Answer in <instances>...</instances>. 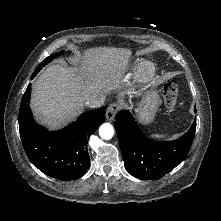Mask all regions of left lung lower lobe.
Masks as SVG:
<instances>
[{"instance_id":"obj_1","label":"left lung lower lobe","mask_w":221,"mask_h":221,"mask_svg":"<svg viewBox=\"0 0 221 221\" xmlns=\"http://www.w3.org/2000/svg\"><path fill=\"white\" fill-rule=\"evenodd\" d=\"M114 126L127 172L139 179L153 180L185 159L194 139L196 120L182 137L163 142L148 139L129 111H120Z\"/></svg>"}]
</instances>
